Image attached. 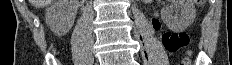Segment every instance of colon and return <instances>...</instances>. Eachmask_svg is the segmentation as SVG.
I'll return each instance as SVG.
<instances>
[{
  "label": "colon",
  "instance_id": "obj_1",
  "mask_svg": "<svg viewBox=\"0 0 232 65\" xmlns=\"http://www.w3.org/2000/svg\"><path fill=\"white\" fill-rule=\"evenodd\" d=\"M196 2L198 4H203L205 0H196ZM162 43L167 51L176 52L188 45L189 37L184 33L167 32L162 36Z\"/></svg>",
  "mask_w": 232,
  "mask_h": 65
}]
</instances>
